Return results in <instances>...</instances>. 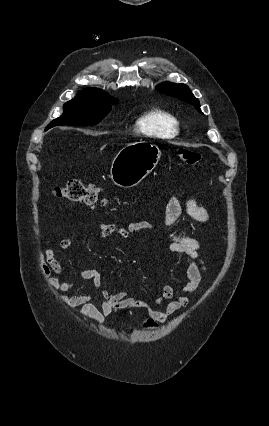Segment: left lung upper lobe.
<instances>
[{
	"instance_id": "5c2ea615",
	"label": "left lung upper lobe",
	"mask_w": 269,
	"mask_h": 426,
	"mask_svg": "<svg viewBox=\"0 0 269 426\" xmlns=\"http://www.w3.org/2000/svg\"><path fill=\"white\" fill-rule=\"evenodd\" d=\"M159 92L164 94L174 96L182 101L190 103L195 106V108L200 112V103L198 99H196L190 89L184 84H176L170 82L161 83L156 87Z\"/></svg>"
}]
</instances>
